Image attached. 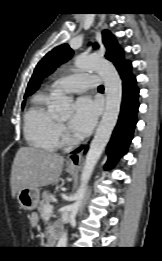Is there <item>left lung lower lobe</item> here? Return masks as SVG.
Returning <instances> with one entry per match:
<instances>
[{
    "label": "left lung lower lobe",
    "instance_id": "0a47b994",
    "mask_svg": "<svg viewBox=\"0 0 162 261\" xmlns=\"http://www.w3.org/2000/svg\"><path fill=\"white\" fill-rule=\"evenodd\" d=\"M131 67L129 62L118 70L123 86L122 104L118 123L107 147L108 161L105 169L114 167L119 158L126 153L137 123L139 89L136 85V77L131 73ZM81 149L82 147L73 153H78Z\"/></svg>",
    "mask_w": 162,
    "mask_h": 261
}]
</instances>
